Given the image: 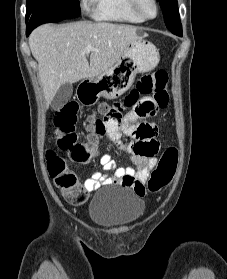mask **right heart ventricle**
Returning a JSON list of instances; mask_svg holds the SVG:
<instances>
[{
    "instance_id": "right-heart-ventricle-1",
    "label": "right heart ventricle",
    "mask_w": 227,
    "mask_h": 279,
    "mask_svg": "<svg viewBox=\"0 0 227 279\" xmlns=\"http://www.w3.org/2000/svg\"><path fill=\"white\" fill-rule=\"evenodd\" d=\"M94 4L92 17L97 20L141 23L143 20L135 13L131 0H90Z\"/></svg>"
}]
</instances>
